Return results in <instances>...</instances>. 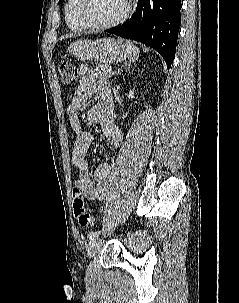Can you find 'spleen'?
Wrapping results in <instances>:
<instances>
[{
	"label": "spleen",
	"instance_id": "1",
	"mask_svg": "<svg viewBox=\"0 0 239 303\" xmlns=\"http://www.w3.org/2000/svg\"><path fill=\"white\" fill-rule=\"evenodd\" d=\"M126 48H127V56L129 58V62L130 63L135 62L139 57V53H140L139 48L129 41L126 42Z\"/></svg>",
	"mask_w": 239,
	"mask_h": 303
}]
</instances>
